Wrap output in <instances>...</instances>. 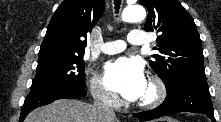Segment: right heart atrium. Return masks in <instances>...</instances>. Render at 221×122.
I'll return each instance as SVG.
<instances>
[{"instance_id": "right-heart-atrium-1", "label": "right heart atrium", "mask_w": 221, "mask_h": 122, "mask_svg": "<svg viewBox=\"0 0 221 122\" xmlns=\"http://www.w3.org/2000/svg\"><path fill=\"white\" fill-rule=\"evenodd\" d=\"M89 89L93 98L98 102L111 107L119 104L118 97L105 87L101 77L96 73H92L90 77Z\"/></svg>"}]
</instances>
